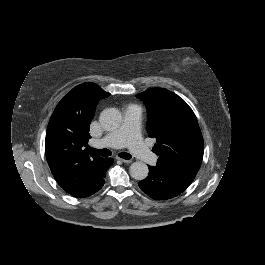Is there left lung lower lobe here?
Masks as SVG:
<instances>
[{"instance_id":"1","label":"left lung lower lobe","mask_w":265,"mask_h":265,"mask_svg":"<svg viewBox=\"0 0 265 265\" xmlns=\"http://www.w3.org/2000/svg\"><path fill=\"white\" fill-rule=\"evenodd\" d=\"M149 175L140 181L139 187L156 200H166L182 193L194 180L197 172L148 166Z\"/></svg>"}]
</instances>
